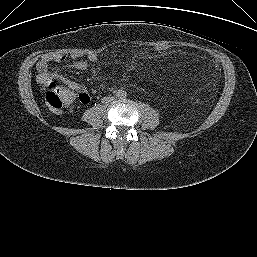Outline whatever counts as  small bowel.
<instances>
[{
  "label": "small bowel",
  "instance_id": "c3829d8e",
  "mask_svg": "<svg viewBox=\"0 0 257 257\" xmlns=\"http://www.w3.org/2000/svg\"><path fill=\"white\" fill-rule=\"evenodd\" d=\"M67 56L63 53H47L44 54L37 63V82L41 85H47L48 83L57 80L68 88L83 95L86 98L84 103L89 102L90 97L85 87L74 80H71L61 74L63 71L69 70H86L89 66L96 61L97 56L95 54H89L85 59H78V56H73V60L67 62Z\"/></svg>",
  "mask_w": 257,
  "mask_h": 257
}]
</instances>
